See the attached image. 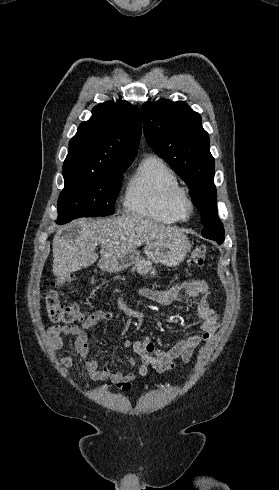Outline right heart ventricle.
<instances>
[{
    "label": "right heart ventricle",
    "mask_w": 279,
    "mask_h": 490,
    "mask_svg": "<svg viewBox=\"0 0 279 490\" xmlns=\"http://www.w3.org/2000/svg\"><path fill=\"white\" fill-rule=\"evenodd\" d=\"M182 183L160 157L142 159L127 188L125 205L130 214L154 223L181 222L171 207V198Z\"/></svg>",
    "instance_id": "1"
}]
</instances>
